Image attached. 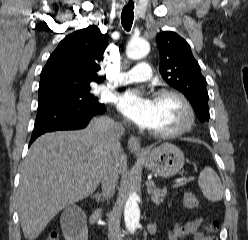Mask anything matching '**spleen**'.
<instances>
[{
  "label": "spleen",
  "mask_w": 248,
  "mask_h": 240,
  "mask_svg": "<svg viewBox=\"0 0 248 240\" xmlns=\"http://www.w3.org/2000/svg\"><path fill=\"white\" fill-rule=\"evenodd\" d=\"M198 185L203 192L204 197L209 201H220L223 197L224 190L221 180L217 173L210 167H205L198 179Z\"/></svg>",
  "instance_id": "spleen-1"
}]
</instances>
